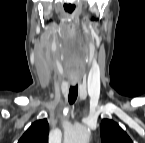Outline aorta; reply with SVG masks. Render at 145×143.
<instances>
[{
  "label": "aorta",
  "instance_id": "obj_1",
  "mask_svg": "<svg viewBox=\"0 0 145 143\" xmlns=\"http://www.w3.org/2000/svg\"><path fill=\"white\" fill-rule=\"evenodd\" d=\"M90 131L84 126H75L65 133L64 143H88Z\"/></svg>",
  "mask_w": 145,
  "mask_h": 143
}]
</instances>
